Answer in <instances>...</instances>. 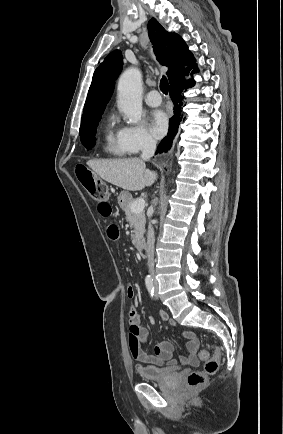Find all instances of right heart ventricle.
<instances>
[{
	"label": "right heart ventricle",
	"mask_w": 283,
	"mask_h": 434,
	"mask_svg": "<svg viewBox=\"0 0 283 434\" xmlns=\"http://www.w3.org/2000/svg\"><path fill=\"white\" fill-rule=\"evenodd\" d=\"M104 151L118 156H122L127 153L121 142L120 129L115 127V123L112 118L108 121L105 130Z\"/></svg>",
	"instance_id": "obj_1"
}]
</instances>
